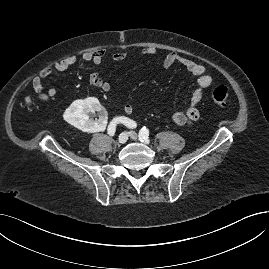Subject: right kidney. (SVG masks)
<instances>
[{
  "instance_id": "ca27d5eb",
  "label": "right kidney",
  "mask_w": 269,
  "mask_h": 269,
  "mask_svg": "<svg viewBox=\"0 0 269 269\" xmlns=\"http://www.w3.org/2000/svg\"><path fill=\"white\" fill-rule=\"evenodd\" d=\"M98 112L94 120L90 113ZM107 107L96 98H88L74 102L68 110L61 112V117L78 129L85 132L104 131L108 128L107 117L104 115ZM102 114V115H101Z\"/></svg>"
}]
</instances>
